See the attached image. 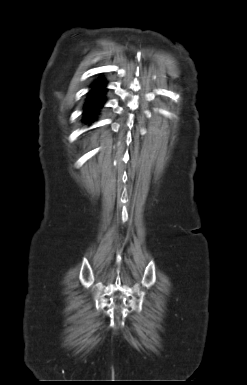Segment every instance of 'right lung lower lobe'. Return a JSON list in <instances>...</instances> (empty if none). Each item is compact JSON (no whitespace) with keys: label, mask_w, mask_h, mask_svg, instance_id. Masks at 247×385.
<instances>
[{"label":"right lung lower lobe","mask_w":247,"mask_h":385,"mask_svg":"<svg viewBox=\"0 0 247 385\" xmlns=\"http://www.w3.org/2000/svg\"><path fill=\"white\" fill-rule=\"evenodd\" d=\"M105 81L98 79L92 85V89L89 92L88 98L84 106V120L89 121L96 117L98 110L102 107L105 101Z\"/></svg>","instance_id":"98d812e1"}]
</instances>
